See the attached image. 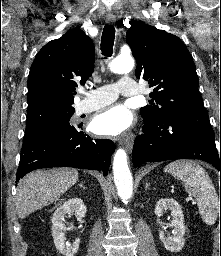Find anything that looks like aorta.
Masks as SVG:
<instances>
[{
    "label": "aorta",
    "instance_id": "762f6f07",
    "mask_svg": "<svg viewBox=\"0 0 221 256\" xmlns=\"http://www.w3.org/2000/svg\"><path fill=\"white\" fill-rule=\"evenodd\" d=\"M134 67L132 57H117L110 64L109 69L116 74L130 72ZM114 181L119 197L127 203L132 196L133 180L127 163V154L124 149L115 152L113 160Z\"/></svg>",
    "mask_w": 221,
    "mask_h": 256
}]
</instances>
